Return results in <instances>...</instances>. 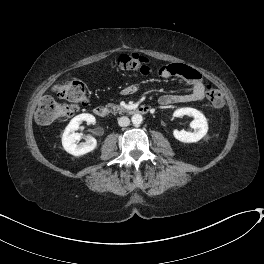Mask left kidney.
I'll list each match as a JSON object with an SVG mask.
<instances>
[{
    "label": "left kidney",
    "mask_w": 264,
    "mask_h": 264,
    "mask_svg": "<svg viewBox=\"0 0 264 264\" xmlns=\"http://www.w3.org/2000/svg\"><path fill=\"white\" fill-rule=\"evenodd\" d=\"M188 115L193 117V121L190 123V127L194 129L193 132H187L184 130H174V137L184 143H193L202 139L208 131V123L206 117L197 109L185 107L177 109L173 116L180 117Z\"/></svg>",
    "instance_id": "5707ae66"
}]
</instances>
